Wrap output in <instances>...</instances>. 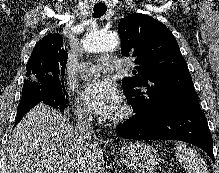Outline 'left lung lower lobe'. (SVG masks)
<instances>
[{"instance_id": "left-lung-lower-lobe-1", "label": "left lung lower lobe", "mask_w": 219, "mask_h": 173, "mask_svg": "<svg viewBox=\"0 0 219 173\" xmlns=\"http://www.w3.org/2000/svg\"><path fill=\"white\" fill-rule=\"evenodd\" d=\"M125 139L180 140L203 149L213 161V141L199 101L171 106L150 119L133 117L116 127Z\"/></svg>"}]
</instances>
